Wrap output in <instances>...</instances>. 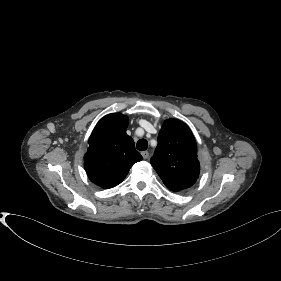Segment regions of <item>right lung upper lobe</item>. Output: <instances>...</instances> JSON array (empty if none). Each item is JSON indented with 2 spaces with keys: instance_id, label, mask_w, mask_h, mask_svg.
<instances>
[{
  "instance_id": "1",
  "label": "right lung upper lobe",
  "mask_w": 281,
  "mask_h": 281,
  "mask_svg": "<svg viewBox=\"0 0 281 281\" xmlns=\"http://www.w3.org/2000/svg\"><path fill=\"white\" fill-rule=\"evenodd\" d=\"M127 126V116L109 114L97 123L89 138L84 167L89 179L102 188L120 184L132 165L143 159L126 133Z\"/></svg>"
}]
</instances>
